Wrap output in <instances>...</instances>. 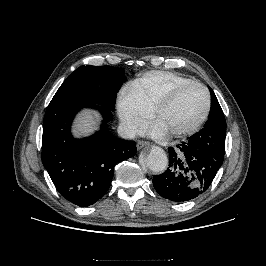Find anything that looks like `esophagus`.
<instances>
[{"instance_id": "obj_1", "label": "esophagus", "mask_w": 266, "mask_h": 266, "mask_svg": "<svg viewBox=\"0 0 266 266\" xmlns=\"http://www.w3.org/2000/svg\"><path fill=\"white\" fill-rule=\"evenodd\" d=\"M145 146H150V143L146 142V141H138L137 142V149L138 150H140L141 148H143Z\"/></svg>"}]
</instances>
